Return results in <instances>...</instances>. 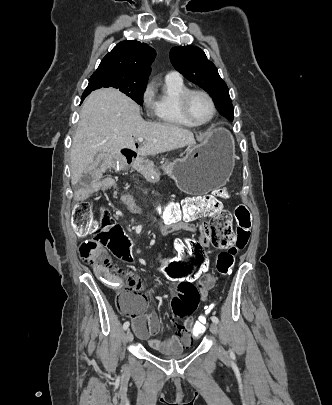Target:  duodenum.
Returning <instances> with one entry per match:
<instances>
[{
	"instance_id": "duodenum-1",
	"label": "duodenum",
	"mask_w": 332,
	"mask_h": 405,
	"mask_svg": "<svg viewBox=\"0 0 332 405\" xmlns=\"http://www.w3.org/2000/svg\"><path fill=\"white\" fill-rule=\"evenodd\" d=\"M125 160L128 164H131L135 158H136V153L131 150H126L123 153ZM190 219V215H185L180 218H174V219H167L165 220L162 225H161V231L163 233H170L175 230H181L184 229L185 222H187Z\"/></svg>"
}]
</instances>
